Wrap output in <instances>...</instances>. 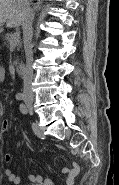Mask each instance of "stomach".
Instances as JSON below:
<instances>
[{
    "instance_id": "1",
    "label": "stomach",
    "mask_w": 119,
    "mask_h": 185,
    "mask_svg": "<svg viewBox=\"0 0 119 185\" xmlns=\"http://www.w3.org/2000/svg\"><path fill=\"white\" fill-rule=\"evenodd\" d=\"M2 32V28H1V26H0V33Z\"/></svg>"
}]
</instances>
